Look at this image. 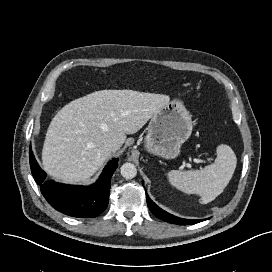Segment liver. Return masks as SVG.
Wrapping results in <instances>:
<instances>
[{"instance_id":"liver-1","label":"liver","mask_w":272,"mask_h":272,"mask_svg":"<svg viewBox=\"0 0 272 272\" xmlns=\"http://www.w3.org/2000/svg\"><path fill=\"white\" fill-rule=\"evenodd\" d=\"M170 101L163 94L133 90H100L66 104L52 119L42 150L44 170L65 183L86 182L107 161L105 148H119L126 134L139 131Z\"/></svg>"}]
</instances>
